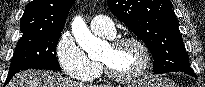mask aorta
I'll use <instances>...</instances> for the list:
<instances>
[{"label": "aorta", "instance_id": "obj_1", "mask_svg": "<svg viewBox=\"0 0 205 87\" xmlns=\"http://www.w3.org/2000/svg\"><path fill=\"white\" fill-rule=\"evenodd\" d=\"M72 33L78 45L88 53L100 50L105 42L91 33L81 16L72 22Z\"/></svg>", "mask_w": 205, "mask_h": 87}]
</instances>
